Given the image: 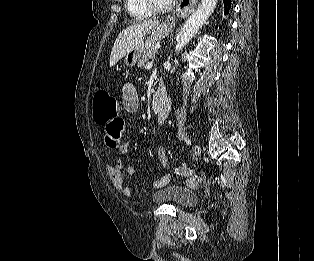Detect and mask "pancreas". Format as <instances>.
I'll list each match as a JSON object with an SVG mask.
<instances>
[{
    "label": "pancreas",
    "instance_id": "pancreas-1",
    "mask_svg": "<svg viewBox=\"0 0 314 261\" xmlns=\"http://www.w3.org/2000/svg\"><path fill=\"white\" fill-rule=\"evenodd\" d=\"M156 54L157 49L155 46L145 51L142 57L139 59L138 67H143L149 59H154Z\"/></svg>",
    "mask_w": 314,
    "mask_h": 261
}]
</instances>
